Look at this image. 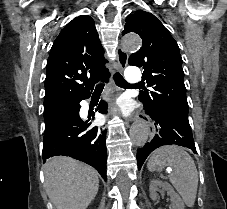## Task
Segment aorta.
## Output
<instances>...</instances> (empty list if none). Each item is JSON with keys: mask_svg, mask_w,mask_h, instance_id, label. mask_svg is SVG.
Listing matches in <instances>:
<instances>
[{"mask_svg": "<svg viewBox=\"0 0 227 209\" xmlns=\"http://www.w3.org/2000/svg\"><path fill=\"white\" fill-rule=\"evenodd\" d=\"M122 45L127 51H136L140 48L141 39L138 35H127L122 40ZM149 136V129L144 123L136 124L131 129V139L137 146H142L146 143Z\"/></svg>", "mask_w": 227, "mask_h": 209, "instance_id": "762f6f07", "label": "aorta"}]
</instances>
